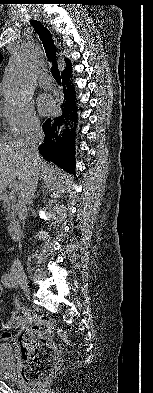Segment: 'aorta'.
I'll return each instance as SVG.
<instances>
[{
  "mask_svg": "<svg viewBox=\"0 0 153 393\" xmlns=\"http://www.w3.org/2000/svg\"><path fill=\"white\" fill-rule=\"evenodd\" d=\"M38 50L35 44L27 42L21 45L8 63L3 80V90L11 104L25 105L35 91V72Z\"/></svg>",
  "mask_w": 153,
  "mask_h": 393,
  "instance_id": "1",
  "label": "aorta"
}]
</instances>
